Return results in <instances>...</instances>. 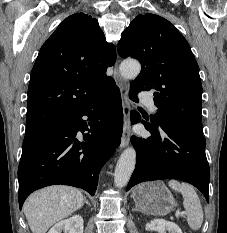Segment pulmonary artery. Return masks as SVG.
Returning a JSON list of instances; mask_svg holds the SVG:
<instances>
[{
  "mask_svg": "<svg viewBox=\"0 0 227 233\" xmlns=\"http://www.w3.org/2000/svg\"><path fill=\"white\" fill-rule=\"evenodd\" d=\"M140 99L142 103H144L151 112H155L156 106L154 104L153 99L150 96L142 94Z\"/></svg>",
  "mask_w": 227,
  "mask_h": 233,
  "instance_id": "e3ab8cb5",
  "label": "pulmonary artery"
}]
</instances>
